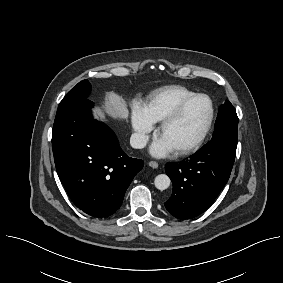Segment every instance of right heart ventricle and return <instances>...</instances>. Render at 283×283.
<instances>
[{
    "label": "right heart ventricle",
    "mask_w": 283,
    "mask_h": 283,
    "mask_svg": "<svg viewBox=\"0 0 283 283\" xmlns=\"http://www.w3.org/2000/svg\"><path fill=\"white\" fill-rule=\"evenodd\" d=\"M195 94L194 91L181 86L169 85L157 89L148 98L143 107L145 116L152 122L166 118L184 99Z\"/></svg>",
    "instance_id": "right-heart-ventricle-1"
}]
</instances>
